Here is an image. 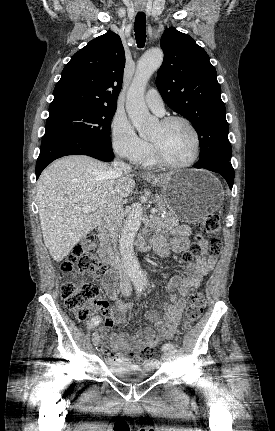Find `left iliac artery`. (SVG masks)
Wrapping results in <instances>:
<instances>
[{"instance_id":"left-iliac-artery-1","label":"left iliac artery","mask_w":275,"mask_h":431,"mask_svg":"<svg viewBox=\"0 0 275 431\" xmlns=\"http://www.w3.org/2000/svg\"><path fill=\"white\" fill-rule=\"evenodd\" d=\"M144 284L146 285L147 282L145 281ZM162 350L163 351L169 350V351H173L174 352L175 351V346L172 343H166V344L163 345Z\"/></svg>"}]
</instances>
